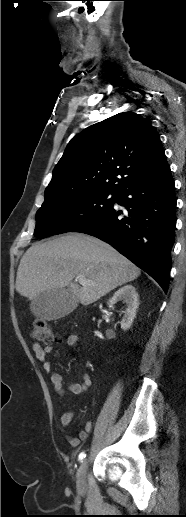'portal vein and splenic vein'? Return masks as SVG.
<instances>
[{"mask_svg": "<svg viewBox=\"0 0 186 517\" xmlns=\"http://www.w3.org/2000/svg\"><path fill=\"white\" fill-rule=\"evenodd\" d=\"M75 280L78 281L81 285H85L90 282L87 279H85L84 277H76Z\"/></svg>", "mask_w": 186, "mask_h": 517, "instance_id": "obj_1", "label": "portal vein and splenic vein"}]
</instances>
